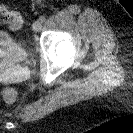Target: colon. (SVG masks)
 I'll return each instance as SVG.
<instances>
[{
    "mask_svg": "<svg viewBox=\"0 0 133 133\" xmlns=\"http://www.w3.org/2000/svg\"><path fill=\"white\" fill-rule=\"evenodd\" d=\"M0 21L8 23L12 29H18L22 25L20 14L4 6H0ZM2 97L5 102L13 103L16 99V93L11 89H5L2 93Z\"/></svg>",
    "mask_w": 133,
    "mask_h": 133,
    "instance_id": "colon-1",
    "label": "colon"
}]
</instances>
